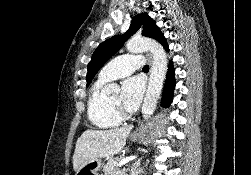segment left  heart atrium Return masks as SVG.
<instances>
[{"instance_id": "left-heart-atrium-1", "label": "left heart atrium", "mask_w": 251, "mask_h": 175, "mask_svg": "<svg viewBox=\"0 0 251 175\" xmlns=\"http://www.w3.org/2000/svg\"><path fill=\"white\" fill-rule=\"evenodd\" d=\"M144 90L145 85L140 76H131L125 79L121 93L123 107L129 112L136 111L141 103Z\"/></svg>"}]
</instances>
